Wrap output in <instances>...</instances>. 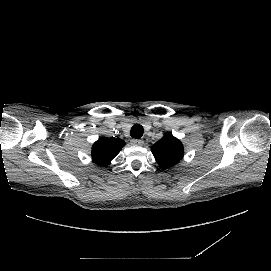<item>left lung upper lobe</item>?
I'll use <instances>...</instances> for the list:
<instances>
[{"mask_svg": "<svg viewBox=\"0 0 271 271\" xmlns=\"http://www.w3.org/2000/svg\"><path fill=\"white\" fill-rule=\"evenodd\" d=\"M151 150L157 163L163 168L175 165L183 157V146L171 133H165L164 137L156 142Z\"/></svg>", "mask_w": 271, "mask_h": 271, "instance_id": "5c2ea615", "label": "left lung upper lobe"}]
</instances>
